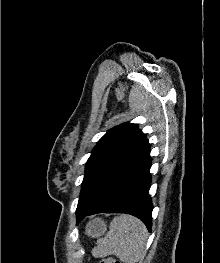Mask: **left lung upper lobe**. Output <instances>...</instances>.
I'll return each instance as SVG.
<instances>
[{
    "label": "left lung upper lobe",
    "instance_id": "5c2ea615",
    "mask_svg": "<svg viewBox=\"0 0 220 263\" xmlns=\"http://www.w3.org/2000/svg\"><path fill=\"white\" fill-rule=\"evenodd\" d=\"M149 150L150 144L136 124L110 129L86 163L77 211L93 206Z\"/></svg>",
    "mask_w": 220,
    "mask_h": 263
}]
</instances>
